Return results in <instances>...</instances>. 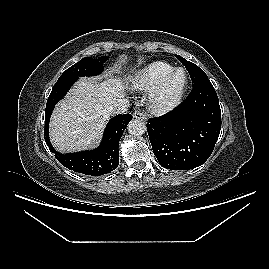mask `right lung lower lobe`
Listing matches in <instances>:
<instances>
[{
    "label": "right lung lower lobe",
    "instance_id": "right-lung-lower-lobe-1",
    "mask_svg": "<svg viewBox=\"0 0 269 269\" xmlns=\"http://www.w3.org/2000/svg\"><path fill=\"white\" fill-rule=\"evenodd\" d=\"M78 78L68 77L58 80L54 85L46 104L44 138L56 159L68 169L90 176H99L115 170L119 164V141L132 119L131 114L113 117L104 132L101 145L91 151L72 154L57 152L49 140V119L55 104L61 100Z\"/></svg>",
    "mask_w": 269,
    "mask_h": 269
}]
</instances>
